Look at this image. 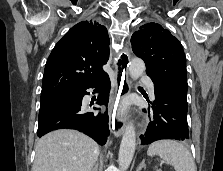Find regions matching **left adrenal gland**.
<instances>
[{"label":"left adrenal gland","instance_id":"a2214340","mask_svg":"<svg viewBox=\"0 0 223 171\" xmlns=\"http://www.w3.org/2000/svg\"><path fill=\"white\" fill-rule=\"evenodd\" d=\"M142 168H144V169L146 168L144 159L142 160V162L140 163V165L138 166L136 171H141Z\"/></svg>","mask_w":223,"mask_h":171}]
</instances>
